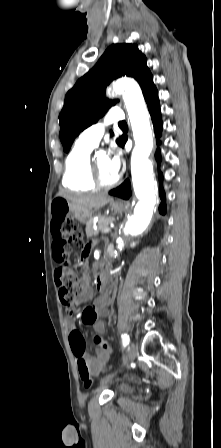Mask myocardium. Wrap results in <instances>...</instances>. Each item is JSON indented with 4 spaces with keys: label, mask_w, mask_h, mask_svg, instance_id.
Wrapping results in <instances>:
<instances>
[{
    "label": "myocardium",
    "mask_w": 221,
    "mask_h": 448,
    "mask_svg": "<svg viewBox=\"0 0 221 448\" xmlns=\"http://www.w3.org/2000/svg\"><path fill=\"white\" fill-rule=\"evenodd\" d=\"M90 171H91V179H92L93 183L96 185V187L110 188V187H113L114 185H116L119 181L118 176L112 181H105L101 177V175L98 171V168L96 166L95 160H93V159H90Z\"/></svg>",
    "instance_id": "f54148a6"
}]
</instances>
